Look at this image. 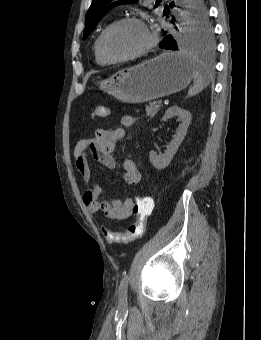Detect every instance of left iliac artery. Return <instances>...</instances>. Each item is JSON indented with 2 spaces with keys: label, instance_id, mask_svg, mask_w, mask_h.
Masks as SVG:
<instances>
[{
  "label": "left iliac artery",
  "instance_id": "obj_1",
  "mask_svg": "<svg viewBox=\"0 0 261 340\" xmlns=\"http://www.w3.org/2000/svg\"><path fill=\"white\" fill-rule=\"evenodd\" d=\"M129 276L124 274L119 286V303L121 306L127 304V289H128Z\"/></svg>",
  "mask_w": 261,
  "mask_h": 340
}]
</instances>
